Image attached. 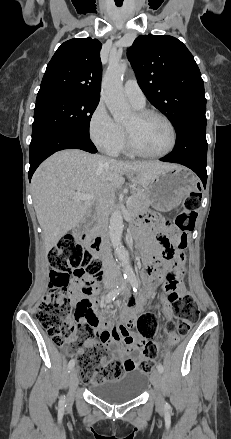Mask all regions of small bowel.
<instances>
[{"label":"small bowel","mask_w":231,"mask_h":439,"mask_svg":"<svg viewBox=\"0 0 231 439\" xmlns=\"http://www.w3.org/2000/svg\"><path fill=\"white\" fill-rule=\"evenodd\" d=\"M170 235L175 233L174 229H164ZM147 246L144 252L145 261L148 263V273H144V278L147 282V287L143 292V296L138 300L136 306L132 309H123L120 312L119 324H112L108 316L112 314L109 309L99 310V302L95 297V290L90 293H85L82 289H77L74 292V299L76 304L78 302H84L87 304L85 311L78 315L79 323L88 327H98L100 332V339L110 349L113 356H117L123 360L127 370V362L132 361L137 364L138 357L134 355L141 350L144 339L140 338L131 328L134 326L136 320L141 316L148 306V299L153 294L155 286L162 280V277L158 273L155 267V261L159 256L164 255L168 261L165 262V269L168 272L180 275L181 268L183 266V258L179 256L174 261H170L172 258V250L169 240L158 241L150 234L147 237ZM167 272V273H168ZM166 291H175L182 293L184 287L177 279L166 282L164 285ZM169 303L165 300L161 301L159 308L166 314L168 311ZM171 344V340H165L162 342V347H166ZM84 352V348L79 350V353Z\"/></svg>","instance_id":"c3829d8e"}]
</instances>
